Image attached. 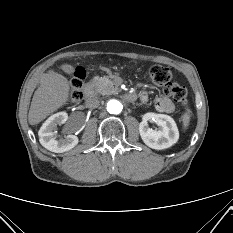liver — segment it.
Masks as SVG:
<instances>
[{
  "mask_svg": "<svg viewBox=\"0 0 233 233\" xmlns=\"http://www.w3.org/2000/svg\"><path fill=\"white\" fill-rule=\"evenodd\" d=\"M39 83L40 86L33 95L28 113V121L31 125L43 121L63 106L69 98V82L63 75L51 70L40 75Z\"/></svg>",
  "mask_w": 233,
  "mask_h": 233,
  "instance_id": "6515ba94",
  "label": "liver"
}]
</instances>
